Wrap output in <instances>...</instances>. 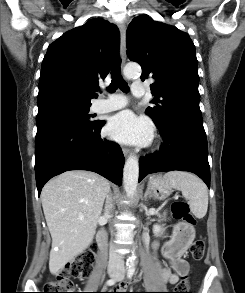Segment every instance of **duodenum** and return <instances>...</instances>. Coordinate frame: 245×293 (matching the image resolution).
I'll return each mask as SVG.
<instances>
[{"mask_svg":"<svg viewBox=\"0 0 245 293\" xmlns=\"http://www.w3.org/2000/svg\"><path fill=\"white\" fill-rule=\"evenodd\" d=\"M106 235H107L106 231L101 230L98 232L97 237H96L97 244L99 246L101 255H104Z\"/></svg>","mask_w":245,"mask_h":293,"instance_id":"410a0bca","label":"duodenum"}]
</instances>
